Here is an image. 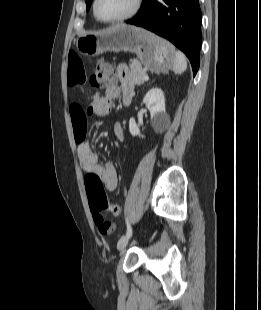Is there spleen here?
I'll return each instance as SVG.
<instances>
[{"label":"spleen","mask_w":261,"mask_h":310,"mask_svg":"<svg viewBox=\"0 0 261 310\" xmlns=\"http://www.w3.org/2000/svg\"><path fill=\"white\" fill-rule=\"evenodd\" d=\"M187 69V60L181 51L175 52V60L173 63V70L175 74H182Z\"/></svg>","instance_id":"obj_1"}]
</instances>
